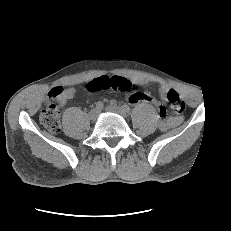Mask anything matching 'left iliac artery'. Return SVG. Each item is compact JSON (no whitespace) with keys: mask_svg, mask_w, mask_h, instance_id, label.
Here are the masks:
<instances>
[{"mask_svg":"<svg viewBox=\"0 0 231 231\" xmlns=\"http://www.w3.org/2000/svg\"><path fill=\"white\" fill-rule=\"evenodd\" d=\"M122 109H123L125 112H127V113L130 112V107H129L128 105H123V106H122Z\"/></svg>","mask_w":231,"mask_h":231,"instance_id":"obj_1","label":"left iliac artery"}]
</instances>
